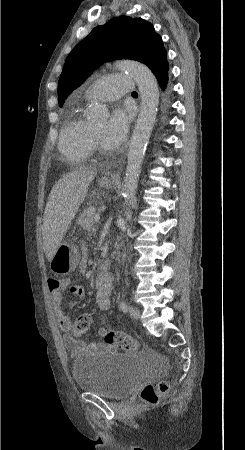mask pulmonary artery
<instances>
[{
  "instance_id": "1",
  "label": "pulmonary artery",
  "mask_w": 245,
  "mask_h": 450,
  "mask_svg": "<svg viewBox=\"0 0 245 450\" xmlns=\"http://www.w3.org/2000/svg\"><path fill=\"white\" fill-rule=\"evenodd\" d=\"M134 79L128 75L104 76L94 81L85 91L87 99L112 101L118 97L131 94Z\"/></svg>"
}]
</instances>
